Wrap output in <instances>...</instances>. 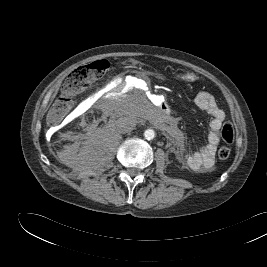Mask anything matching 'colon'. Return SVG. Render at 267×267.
<instances>
[{
    "mask_svg": "<svg viewBox=\"0 0 267 267\" xmlns=\"http://www.w3.org/2000/svg\"><path fill=\"white\" fill-rule=\"evenodd\" d=\"M109 63L106 60H99L93 63L82 65L74 69L65 79L62 94L53 104L48 119L55 124L60 122L74 106L75 96L87 88L91 83L98 80L108 69ZM221 136L226 143H232L235 138V129L231 123H225L221 129ZM231 150L223 146L218 150V157L226 160L230 157Z\"/></svg>",
    "mask_w": 267,
    "mask_h": 267,
    "instance_id": "obj_1",
    "label": "colon"
}]
</instances>
